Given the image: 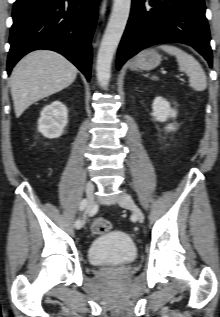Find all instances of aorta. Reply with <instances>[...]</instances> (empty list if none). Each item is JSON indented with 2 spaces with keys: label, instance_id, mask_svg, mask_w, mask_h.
Wrapping results in <instances>:
<instances>
[{
  "label": "aorta",
  "instance_id": "aorta-1",
  "mask_svg": "<svg viewBox=\"0 0 220 317\" xmlns=\"http://www.w3.org/2000/svg\"><path fill=\"white\" fill-rule=\"evenodd\" d=\"M130 8L131 0H114L96 62L97 79L103 89H107L111 76L112 60L125 30Z\"/></svg>",
  "mask_w": 220,
  "mask_h": 317
}]
</instances>
